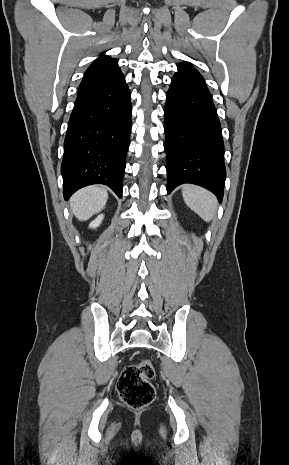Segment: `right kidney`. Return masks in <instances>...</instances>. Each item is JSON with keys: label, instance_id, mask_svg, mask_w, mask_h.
I'll list each match as a JSON object with an SVG mask.
<instances>
[{"label": "right kidney", "instance_id": "ca27d5eb", "mask_svg": "<svg viewBox=\"0 0 289 465\" xmlns=\"http://www.w3.org/2000/svg\"><path fill=\"white\" fill-rule=\"evenodd\" d=\"M103 218H104L103 214L99 215L94 221H92L90 223L89 227L90 228H97L101 224Z\"/></svg>", "mask_w": 289, "mask_h": 465}]
</instances>
